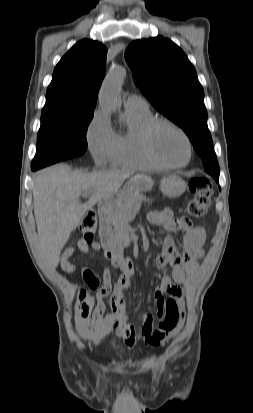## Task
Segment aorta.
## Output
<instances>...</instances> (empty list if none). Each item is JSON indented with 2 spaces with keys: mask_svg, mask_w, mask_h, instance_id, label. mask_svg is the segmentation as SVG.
Here are the masks:
<instances>
[{
  "mask_svg": "<svg viewBox=\"0 0 253 413\" xmlns=\"http://www.w3.org/2000/svg\"><path fill=\"white\" fill-rule=\"evenodd\" d=\"M126 76L123 67L113 68L106 76L99 94L100 107L106 111H116L120 104V89Z\"/></svg>",
  "mask_w": 253,
  "mask_h": 413,
  "instance_id": "obj_1",
  "label": "aorta"
}]
</instances>
